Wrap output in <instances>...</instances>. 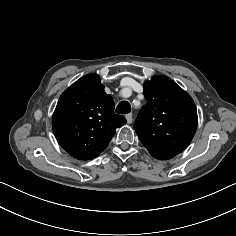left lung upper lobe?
<instances>
[{"label":"left lung upper lobe","mask_w":236,"mask_h":236,"mask_svg":"<svg viewBox=\"0 0 236 236\" xmlns=\"http://www.w3.org/2000/svg\"><path fill=\"white\" fill-rule=\"evenodd\" d=\"M143 93L147 103L137 115L134 130L152 156H176L188 147L197 128L193 99L161 75L146 81Z\"/></svg>","instance_id":"5c2ea615"}]
</instances>
